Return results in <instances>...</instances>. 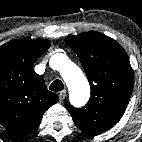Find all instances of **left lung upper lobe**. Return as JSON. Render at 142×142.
I'll return each instance as SVG.
<instances>
[{"label":"left lung upper lobe","instance_id":"5c2ea615","mask_svg":"<svg viewBox=\"0 0 142 142\" xmlns=\"http://www.w3.org/2000/svg\"><path fill=\"white\" fill-rule=\"evenodd\" d=\"M78 55L91 86V99L83 108L65 106L76 126L88 135L100 134L122 117L134 86L125 50L112 38L90 31L66 37Z\"/></svg>","mask_w":142,"mask_h":142}]
</instances>
